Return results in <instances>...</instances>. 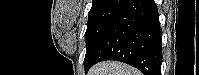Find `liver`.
Returning a JSON list of instances; mask_svg holds the SVG:
<instances>
[{"label":"liver","instance_id":"obj_1","mask_svg":"<svg viewBox=\"0 0 199 75\" xmlns=\"http://www.w3.org/2000/svg\"><path fill=\"white\" fill-rule=\"evenodd\" d=\"M88 75H141V72L121 62L106 61L93 66Z\"/></svg>","mask_w":199,"mask_h":75}]
</instances>
